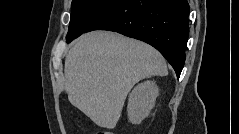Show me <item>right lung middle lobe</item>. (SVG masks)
Segmentation results:
<instances>
[{
    "instance_id": "obj_1",
    "label": "right lung middle lobe",
    "mask_w": 239,
    "mask_h": 134,
    "mask_svg": "<svg viewBox=\"0 0 239 134\" xmlns=\"http://www.w3.org/2000/svg\"><path fill=\"white\" fill-rule=\"evenodd\" d=\"M118 0H73L71 19L66 36L68 42L80 36L89 24Z\"/></svg>"
}]
</instances>
